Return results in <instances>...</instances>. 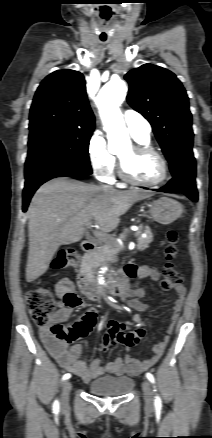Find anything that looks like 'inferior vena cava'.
Wrapping results in <instances>:
<instances>
[{
  "label": "inferior vena cava",
  "mask_w": 212,
  "mask_h": 438,
  "mask_svg": "<svg viewBox=\"0 0 212 438\" xmlns=\"http://www.w3.org/2000/svg\"><path fill=\"white\" fill-rule=\"evenodd\" d=\"M103 188H105V189H109L110 187H109V186H104Z\"/></svg>",
  "instance_id": "obj_1"
}]
</instances>
